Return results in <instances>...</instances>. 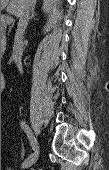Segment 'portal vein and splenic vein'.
<instances>
[{"label":"portal vein and splenic vein","instance_id":"portal-vein-and-splenic-vein-1","mask_svg":"<svg viewBox=\"0 0 109 170\" xmlns=\"http://www.w3.org/2000/svg\"><path fill=\"white\" fill-rule=\"evenodd\" d=\"M1 23L4 25H9L12 23V17L11 16H6L1 19Z\"/></svg>","mask_w":109,"mask_h":170}]
</instances>
